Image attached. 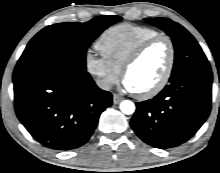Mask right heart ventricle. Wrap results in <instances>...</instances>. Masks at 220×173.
<instances>
[{"instance_id": "1", "label": "right heart ventricle", "mask_w": 220, "mask_h": 173, "mask_svg": "<svg viewBox=\"0 0 220 173\" xmlns=\"http://www.w3.org/2000/svg\"><path fill=\"white\" fill-rule=\"evenodd\" d=\"M159 34L151 27L123 23L107 29L98 39L96 47L102 56L122 71L131 53L145 40Z\"/></svg>"}]
</instances>
